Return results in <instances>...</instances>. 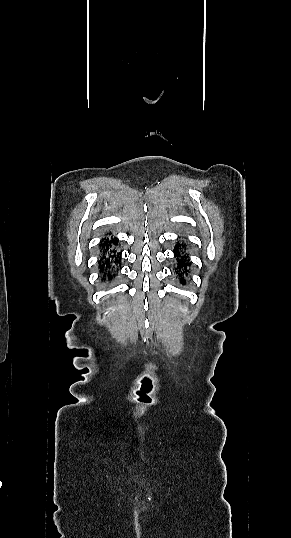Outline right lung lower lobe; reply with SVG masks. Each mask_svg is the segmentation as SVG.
Masks as SVG:
<instances>
[{
  "instance_id": "98d812e1",
  "label": "right lung lower lobe",
  "mask_w": 291,
  "mask_h": 538,
  "mask_svg": "<svg viewBox=\"0 0 291 538\" xmlns=\"http://www.w3.org/2000/svg\"><path fill=\"white\" fill-rule=\"evenodd\" d=\"M118 241L111 239H104L101 247L103 249V254L99 260V267L101 273L103 274L102 280H111L115 276L116 268L115 264H119L120 257L119 253L114 248L117 245Z\"/></svg>"
}]
</instances>
